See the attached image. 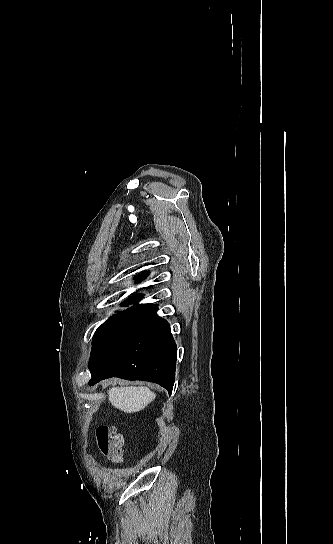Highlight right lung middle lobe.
Returning a JSON list of instances; mask_svg holds the SVG:
<instances>
[{
  "label": "right lung middle lobe",
  "mask_w": 333,
  "mask_h": 544,
  "mask_svg": "<svg viewBox=\"0 0 333 544\" xmlns=\"http://www.w3.org/2000/svg\"><path fill=\"white\" fill-rule=\"evenodd\" d=\"M140 299H128L134 306L118 312L105 321L95 332L89 367L103 363L113 353L142 335L159 318L157 304H138Z\"/></svg>",
  "instance_id": "dd1d6c3e"
}]
</instances>
